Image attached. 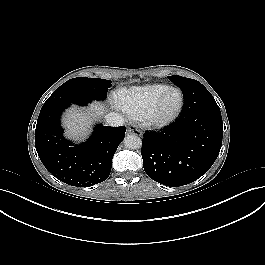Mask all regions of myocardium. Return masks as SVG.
Wrapping results in <instances>:
<instances>
[{"instance_id": "1", "label": "myocardium", "mask_w": 265, "mask_h": 265, "mask_svg": "<svg viewBox=\"0 0 265 265\" xmlns=\"http://www.w3.org/2000/svg\"><path fill=\"white\" fill-rule=\"evenodd\" d=\"M171 91H175L179 94V102L175 109L169 114H162L160 111L161 105L164 102L167 94ZM184 107V94L180 88L168 87L158 98L154 101L150 107L147 115L142 120L143 125L150 129H164L173 124L180 116Z\"/></svg>"}]
</instances>
